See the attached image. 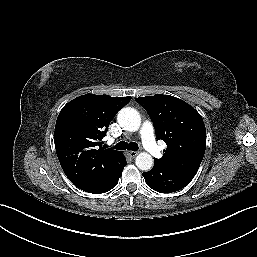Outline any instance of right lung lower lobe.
<instances>
[{
  "label": "right lung lower lobe",
  "mask_w": 257,
  "mask_h": 257,
  "mask_svg": "<svg viewBox=\"0 0 257 257\" xmlns=\"http://www.w3.org/2000/svg\"><path fill=\"white\" fill-rule=\"evenodd\" d=\"M125 165L126 159L121 154L116 168L108 176L94 183L84 184L77 187L89 193H105L117 185L118 179L121 177Z\"/></svg>",
  "instance_id": "obj_1"
}]
</instances>
